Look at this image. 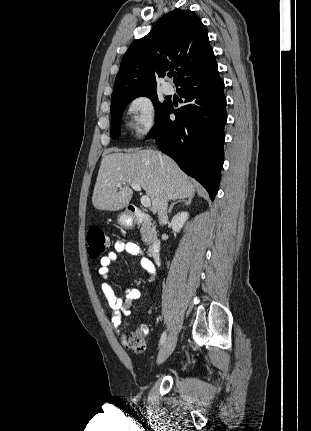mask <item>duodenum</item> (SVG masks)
Here are the masks:
<instances>
[{
    "instance_id": "410a0bca",
    "label": "duodenum",
    "mask_w": 311,
    "mask_h": 431,
    "mask_svg": "<svg viewBox=\"0 0 311 431\" xmlns=\"http://www.w3.org/2000/svg\"><path fill=\"white\" fill-rule=\"evenodd\" d=\"M127 215L130 218V220L136 224L148 223L150 220L146 213H144L141 209L133 205H129L127 207ZM148 251L152 259L155 262H158L160 257V243L158 241L152 242L148 247Z\"/></svg>"
}]
</instances>
